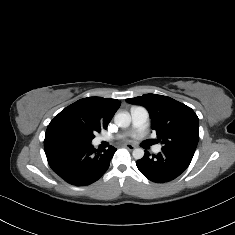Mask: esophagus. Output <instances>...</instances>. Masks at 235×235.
Masks as SVG:
<instances>
[{"label":"esophagus","mask_w":235,"mask_h":235,"mask_svg":"<svg viewBox=\"0 0 235 235\" xmlns=\"http://www.w3.org/2000/svg\"><path fill=\"white\" fill-rule=\"evenodd\" d=\"M124 147L127 148L128 150L132 151L135 149V146L129 143L124 144Z\"/></svg>","instance_id":"esophagus-1"}]
</instances>
